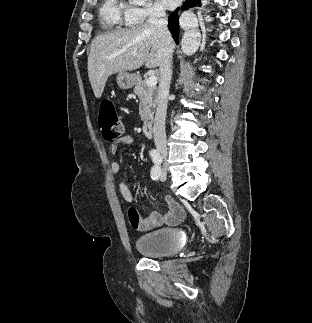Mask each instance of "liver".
Segmentation results:
<instances>
[{
  "mask_svg": "<svg viewBox=\"0 0 312 323\" xmlns=\"http://www.w3.org/2000/svg\"><path fill=\"white\" fill-rule=\"evenodd\" d=\"M161 52V38L153 24L96 36L88 56V78L95 98H101L109 76L116 72L137 70L143 64L158 68Z\"/></svg>",
  "mask_w": 312,
  "mask_h": 323,
  "instance_id": "obj_1",
  "label": "liver"
}]
</instances>
